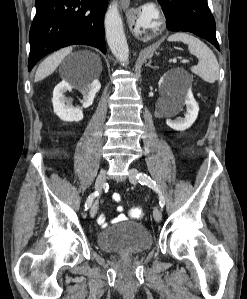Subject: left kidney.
<instances>
[{
	"label": "left kidney",
	"mask_w": 247,
	"mask_h": 299,
	"mask_svg": "<svg viewBox=\"0 0 247 299\" xmlns=\"http://www.w3.org/2000/svg\"><path fill=\"white\" fill-rule=\"evenodd\" d=\"M159 86L162 89H167V82L164 80V77H162L159 81ZM171 101L168 105V110L170 113H177L181 110V107L183 105H186V114L185 118H178L175 121H172L171 119H167L166 123L167 125L177 131H184L192 126V124L195 122L198 116L199 112V106L196 100L194 99V96L191 92V89H187L186 91L182 93H168Z\"/></svg>",
	"instance_id": "left-kidney-1"
}]
</instances>
